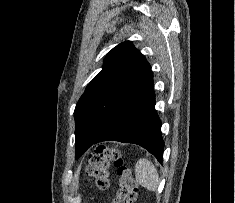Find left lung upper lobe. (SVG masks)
<instances>
[{
    "label": "left lung upper lobe",
    "mask_w": 235,
    "mask_h": 203,
    "mask_svg": "<svg viewBox=\"0 0 235 203\" xmlns=\"http://www.w3.org/2000/svg\"><path fill=\"white\" fill-rule=\"evenodd\" d=\"M150 70L131 41L118 44L107 54L102 71L88 84L74 111L76 159L89 148L80 133L91 131L99 136Z\"/></svg>",
    "instance_id": "5c2ea615"
}]
</instances>
